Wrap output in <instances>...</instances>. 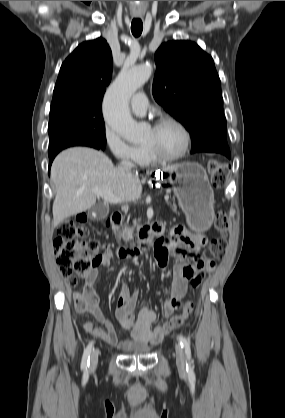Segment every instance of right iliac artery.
Instances as JSON below:
<instances>
[{"mask_svg": "<svg viewBox=\"0 0 285 418\" xmlns=\"http://www.w3.org/2000/svg\"><path fill=\"white\" fill-rule=\"evenodd\" d=\"M92 347H93V342H90L88 344V346L85 348L84 353H83V357H82V361H81V369L85 373H88L89 360H90V354H91V351H92Z\"/></svg>", "mask_w": 285, "mask_h": 418, "instance_id": "right-iliac-artery-1", "label": "right iliac artery"}]
</instances>
